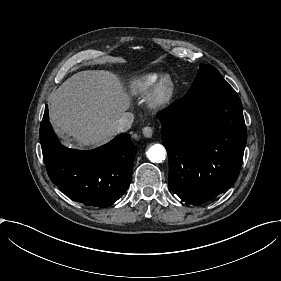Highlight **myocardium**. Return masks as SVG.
Returning <instances> with one entry per match:
<instances>
[{"label": "myocardium", "instance_id": "myocardium-1", "mask_svg": "<svg viewBox=\"0 0 281 281\" xmlns=\"http://www.w3.org/2000/svg\"><path fill=\"white\" fill-rule=\"evenodd\" d=\"M174 93V83L169 77H162L155 85L151 94V104L162 107L171 100Z\"/></svg>", "mask_w": 281, "mask_h": 281}]
</instances>
